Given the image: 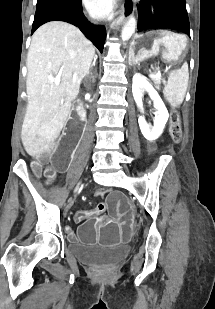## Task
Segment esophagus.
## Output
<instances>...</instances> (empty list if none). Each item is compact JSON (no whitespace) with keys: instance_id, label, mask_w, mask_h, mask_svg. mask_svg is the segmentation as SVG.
I'll return each mask as SVG.
<instances>
[{"instance_id":"esophagus-1","label":"esophagus","mask_w":215,"mask_h":309,"mask_svg":"<svg viewBox=\"0 0 215 309\" xmlns=\"http://www.w3.org/2000/svg\"><path fill=\"white\" fill-rule=\"evenodd\" d=\"M134 13V0H123L121 13L118 18L120 23L117 22V24H121L126 22Z\"/></svg>"}]
</instances>
